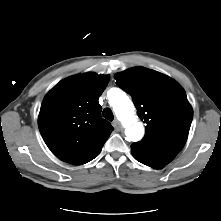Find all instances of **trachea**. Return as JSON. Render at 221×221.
I'll use <instances>...</instances> for the list:
<instances>
[{
    "mask_svg": "<svg viewBox=\"0 0 221 221\" xmlns=\"http://www.w3.org/2000/svg\"><path fill=\"white\" fill-rule=\"evenodd\" d=\"M102 116L109 121H113L114 119V115L110 108H105L102 112Z\"/></svg>",
    "mask_w": 221,
    "mask_h": 221,
    "instance_id": "obj_1",
    "label": "trachea"
}]
</instances>
